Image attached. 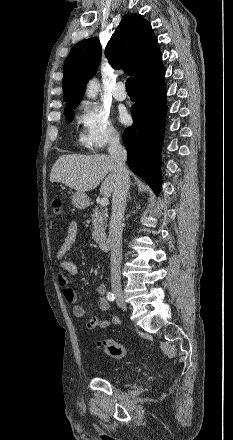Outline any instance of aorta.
I'll list each match as a JSON object with an SVG mask.
<instances>
[{
	"instance_id": "aorta-1",
	"label": "aorta",
	"mask_w": 233,
	"mask_h": 440,
	"mask_svg": "<svg viewBox=\"0 0 233 440\" xmlns=\"http://www.w3.org/2000/svg\"><path fill=\"white\" fill-rule=\"evenodd\" d=\"M100 90V84L96 79L91 80L88 83L86 95L88 98L95 99Z\"/></svg>"
}]
</instances>
